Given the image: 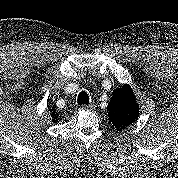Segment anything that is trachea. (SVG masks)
Instances as JSON below:
<instances>
[{
	"label": "trachea",
	"instance_id": "obj_1",
	"mask_svg": "<svg viewBox=\"0 0 178 178\" xmlns=\"http://www.w3.org/2000/svg\"><path fill=\"white\" fill-rule=\"evenodd\" d=\"M78 105H88L89 104V95L87 92L82 91L78 95L77 99Z\"/></svg>",
	"mask_w": 178,
	"mask_h": 178
}]
</instances>
